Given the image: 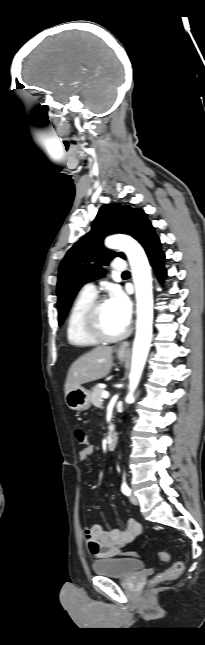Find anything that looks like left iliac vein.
I'll use <instances>...</instances> for the list:
<instances>
[{
  "label": "left iliac vein",
  "mask_w": 205,
  "mask_h": 645,
  "mask_svg": "<svg viewBox=\"0 0 205 645\" xmlns=\"http://www.w3.org/2000/svg\"><path fill=\"white\" fill-rule=\"evenodd\" d=\"M129 499H130V502H131L132 504H134V505H138V504H139V500H138V498H137V496H136V495L131 494V495H130V497H129Z\"/></svg>",
  "instance_id": "1"
}]
</instances>
